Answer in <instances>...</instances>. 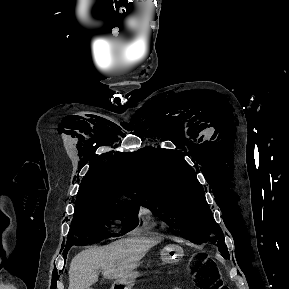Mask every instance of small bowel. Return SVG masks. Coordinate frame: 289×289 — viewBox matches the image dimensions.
Instances as JSON below:
<instances>
[{"label":"small bowel","instance_id":"c3829d8e","mask_svg":"<svg viewBox=\"0 0 289 289\" xmlns=\"http://www.w3.org/2000/svg\"><path fill=\"white\" fill-rule=\"evenodd\" d=\"M173 289H180V288H177V287H176V288H173Z\"/></svg>","mask_w":289,"mask_h":289}]
</instances>
